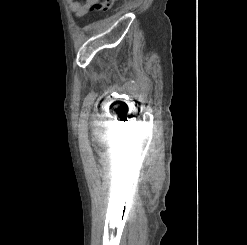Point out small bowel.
I'll return each instance as SVG.
<instances>
[{"instance_id":"small-bowel-1","label":"small bowel","mask_w":247,"mask_h":245,"mask_svg":"<svg viewBox=\"0 0 247 245\" xmlns=\"http://www.w3.org/2000/svg\"><path fill=\"white\" fill-rule=\"evenodd\" d=\"M95 0H85L80 2L78 0H66L70 11H72L77 17L85 15L91 8V5Z\"/></svg>"}]
</instances>
